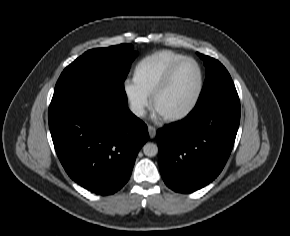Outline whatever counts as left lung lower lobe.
<instances>
[{"mask_svg": "<svg viewBox=\"0 0 290 236\" xmlns=\"http://www.w3.org/2000/svg\"><path fill=\"white\" fill-rule=\"evenodd\" d=\"M239 122L240 101L234 89L159 129V167L165 184L191 193L213 181L229 158Z\"/></svg>", "mask_w": 290, "mask_h": 236, "instance_id": "0a47b994", "label": "left lung lower lobe"}]
</instances>
